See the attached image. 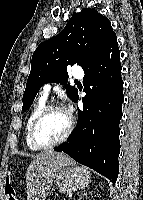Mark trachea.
I'll list each match as a JSON object with an SVG mask.
<instances>
[{
	"label": "trachea",
	"instance_id": "trachea-1",
	"mask_svg": "<svg viewBox=\"0 0 143 200\" xmlns=\"http://www.w3.org/2000/svg\"><path fill=\"white\" fill-rule=\"evenodd\" d=\"M75 83H80L78 80H75Z\"/></svg>",
	"mask_w": 143,
	"mask_h": 200
}]
</instances>
